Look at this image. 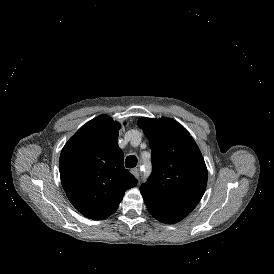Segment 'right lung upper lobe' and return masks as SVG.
Here are the masks:
<instances>
[{
	"mask_svg": "<svg viewBox=\"0 0 274 274\" xmlns=\"http://www.w3.org/2000/svg\"><path fill=\"white\" fill-rule=\"evenodd\" d=\"M120 127L108 115H100L82 126L60 155V177L68 199L93 220L112 215L125 191L137 185L123 165L124 154L118 146Z\"/></svg>",
	"mask_w": 274,
	"mask_h": 274,
	"instance_id": "right-lung-upper-lobe-1",
	"label": "right lung upper lobe"
}]
</instances>
